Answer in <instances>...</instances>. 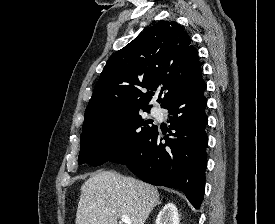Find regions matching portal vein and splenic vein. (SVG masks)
<instances>
[{
  "mask_svg": "<svg viewBox=\"0 0 275 224\" xmlns=\"http://www.w3.org/2000/svg\"><path fill=\"white\" fill-rule=\"evenodd\" d=\"M121 222L125 224H131V220L127 216H121Z\"/></svg>",
  "mask_w": 275,
  "mask_h": 224,
  "instance_id": "portal-vein-and-splenic-vein-1",
  "label": "portal vein and splenic vein"
}]
</instances>
